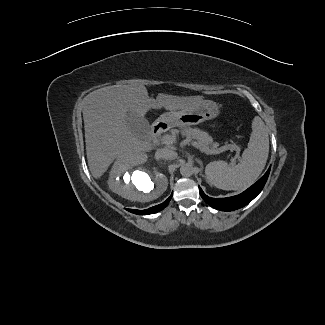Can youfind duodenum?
Wrapping results in <instances>:
<instances>
[{
    "label": "duodenum",
    "mask_w": 325,
    "mask_h": 325,
    "mask_svg": "<svg viewBox=\"0 0 325 325\" xmlns=\"http://www.w3.org/2000/svg\"><path fill=\"white\" fill-rule=\"evenodd\" d=\"M166 129V124L162 122H157L153 125L151 129V137L153 139L158 138Z\"/></svg>",
    "instance_id": "obj_1"
}]
</instances>
